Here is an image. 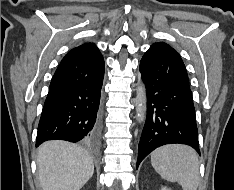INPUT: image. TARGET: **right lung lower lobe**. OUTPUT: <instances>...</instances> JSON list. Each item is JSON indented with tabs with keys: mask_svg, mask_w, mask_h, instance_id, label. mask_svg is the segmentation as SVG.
Returning a JSON list of instances; mask_svg holds the SVG:
<instances>
[{
	"mask_svg": "<svg viewBox=\"0 0 234 190\" xmlns=\"http://www.w3.org/2000/svg\"><path fill=\"white\" fill-rule=\"evenodd\" d=\"M103 77L104 60L95 45L77 47L65 55L50 83L36 146L55 139L96 142Z\"/></svg>",
	"mask_w": 234,
	"mask_h": 190,
	"instance_id": "1",
	"label": "right lung lower lobe"
}]
</instances>
